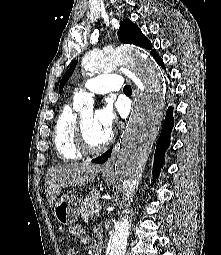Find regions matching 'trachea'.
I'll use <instances>...</instances> for the list:
<instances>
[{
  "instance_id": "obj_1",
  "label": "trachea",
  "mask_w": 221,
  "mask_h": 255,
  "mask_svg": "<svg viewBox=\"0 0 221 255\" xmlns=\"http://www.w3.org/2000/svg\"><path fill=\"white\" fill-rule=\"evenodd\" d=\"M123 90H124V93H131L132 92V89H131L130 85H125Z\"/></svg>"
}]
</instances>
